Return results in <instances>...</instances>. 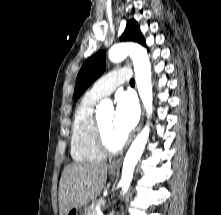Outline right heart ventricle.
<instances>
[{
  "label": "right heart ventricle",
  "instance_id": "1",
  "mask_svg": "<svg viewBox=\"0 0 221 215\" xmlns=\"http://www.w3.org/2000/svg\"><path fill=\"white\" fill-rule=\"evenodd\" d=\"M99 99L87 93L76 108L70 143L73 160L83 163L97 162L104 158L94 137V108Z\"/></svg>",
  "mask_w": 221,
  "mask_h": 215
}]
</instances>
